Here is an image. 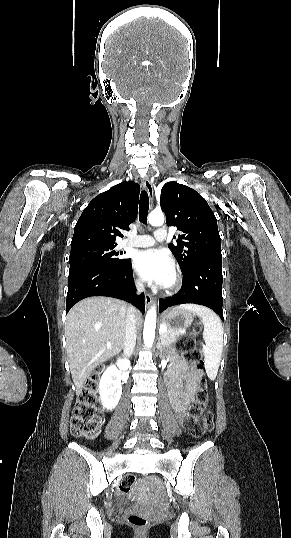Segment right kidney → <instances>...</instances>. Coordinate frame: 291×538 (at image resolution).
Instances as JSON below:
<instances>
[{
    "label": "right kidney",
    "mask_w": 291,
    "mask_h": 538,
    "mask_svg": "<svg viewBox=\"0 0 291 538\" xmlns=\"http://www.w3.org/2000/svg\"><path fill=\"white\" fill-rule=\"evenodd\" d=\"M130 368L128 359L118 360L116 365H110L103 373L99 383L100 400L103 407L113 410L119 403L122 394V371Z\"/></svg>",
    "instance_id": "obj_1"
}]
</instances>
